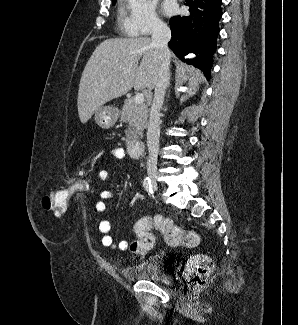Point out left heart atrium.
I'll list each match as a JSON object with an SVG mask.
<instances>
[{
    "mask_svg": "<svg viewBox=\"0 0 298 325\" xmlns=\"http://www.w3.org/2000/svg\"><path fill=\"white\" fill-rule=\"evenodd\" d=\"M163 11L166 15H172L176 11V4L173 0H166L163 4Z\"/></svg>",
    "mask_w": 298,
    "mask_h": 325,
    "instance_id": "obj_1",
    "label": "left heart atrium"
}]
</instances>
